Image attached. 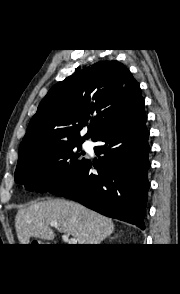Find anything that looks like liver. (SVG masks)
Returning <instances> with one entry per match:
<instances>
[{"instance_id": "obj_1", "label": "liver", "mask_w": 180, "mask_h": 294, "mask_svg": "<svg viewBox=\"0 0 180 294\" xmlns=\"http://www.w3.org/2000/svg\"><path fill=\"white\" fill-rule=\"evenodd\" d=\"M53 221L80 245L100 244L114 231L111 219L78 203L64 199L39 201L17 212L15 228L20 244H29L31 237L53 240L55 234L49 227Z\"/></svg>"}]
</instances>
